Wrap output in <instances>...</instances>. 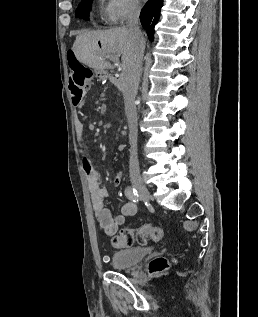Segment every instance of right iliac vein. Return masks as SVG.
I'll use <instances>...</instances> for the list:
<instances>
[{
	"mask_svg": "<svg viewBox=\"0 0 258 317\" xmlns=\"http://www.w3.org/2000/svg\"><path fill=\"white\" fill-rule=\"evenodd\" d=\"M132 184L134 185L137 192H139V196L145 200V203H149V201L151 200V194L150 192H148V188L144 184L143 180L134 179L132 181Z\"/></svg>",
	"mask_w": 258,
	"mask_h": 317,
	"instance_id": "63e3f726",
	"label": "right iliac vein"
}]
</instances>
